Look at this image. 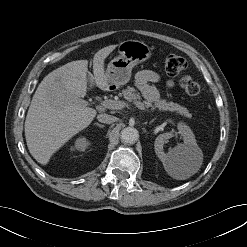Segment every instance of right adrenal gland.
Instances as JSON below:
<instances>
[{
  "label": "right adrenal gland",
  "mask_w": 247,
  "mask_h": 247,
  "mask_svg": "<svg viewBox=\"0 0 247 247\" xmlns=\"http://www.w3.org/2000/svg\"><path fill=\"white\" fill-rule=\"evenodd\" d=\"M94 125H96V126H98V127H100V128H104L105 126L104 125H102V124H100V123H94Z\"/></svg>",
  "instance_id": "2a0ac1e0"
}]
</instances>
